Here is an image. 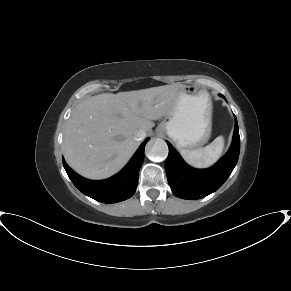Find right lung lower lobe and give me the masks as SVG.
Here are the masks:
<instances>
[{"label":"right lung lower lobe","mask_w":291,"mask_h":291,"mask_svg":"<svg viewBox=\"0 0 291 291\" xmlns=\"http://www.w3.org/2000/svg\"><path fill=\"white\" fill-rule=\"evenodd\" d=\"M149 138L140 145L129 163L111 178L93 181L75 173L63 159V166L73 184L85 195L102 203H116L130 198L136 191L139 169Z\"/></svg>","instance_id":"right-lung-lower-lobe-1"}]
</instances>
